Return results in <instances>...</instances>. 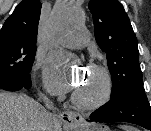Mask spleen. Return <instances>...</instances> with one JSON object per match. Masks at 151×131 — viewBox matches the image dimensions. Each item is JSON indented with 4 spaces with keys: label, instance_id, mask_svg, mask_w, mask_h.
I'll return each instance as SVG.
<instances>
[{
    "label": "spleen",
    "instance_id": "obj_1",
    "mask_svg": "<svg viewBox=\"0 0 151 131\" xmlns=\"http://www.w3.org/2000/svg\"><path fill=\"white\" fill-rule=\"evenodd\" d=\"M124 131H137L134 127L131 126H121Z\"/></svg>",
    "mask_w": 151,
    "mask_h": 131
}]
</instances>
